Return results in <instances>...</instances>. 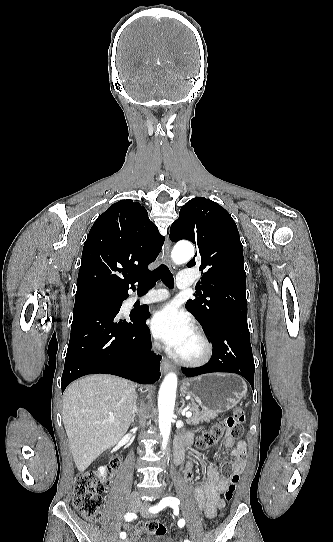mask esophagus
I'll return each mask as SVG.
<instances>
[{"label": "esophagus", "mask_w": 333, "mask_h": 542, "mask_svg": "<svg viewBox=\"0 0 333 542\" xmlns=\"http://www.w3.org/2000/svg\"><path fill=\"white\" fill-rule=\"evenodd\" d=\"M170 252H171V241H170L169 237H166V241H165V262L167 263L168 267L172 271H175L176 266L171 261ZM172 368H173L172 364L166 358H163L162 362H161L162 371L163 372H168Z\"/></svg>", "instance_id": "34e87169"}]
</instances>
